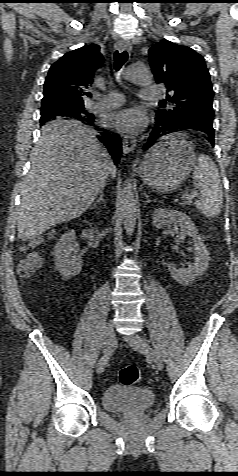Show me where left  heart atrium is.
<instances>
[{
	"label": "left heart atrium",
	"instance_id": "39dd6f15",
	"mask_svg": "<svg viewBox=\"0 0 238 476\" xmlns=\"http://www.w3.org/2000/svg\"><path fill=\"white\" fill-rule=\"evenodd\" d=\"M108 122L127 134H137L145 126V119L141 111L137 109H125L111 114L108 117Z\"/></svg>",
	"mask_w": 238,
	"mask_h": 476
}]
</instances>
